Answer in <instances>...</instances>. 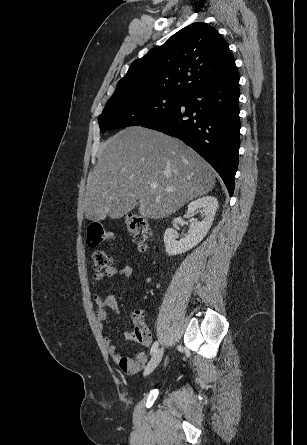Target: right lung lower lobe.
I'll use <instances>...</instances> for the list:
<instances>
[{"label":"right lung lower lobe","instance_id":"98d812e1","mask_svg":"<svg viewBox=\"0 0 307 445\" xmlns=\"http://www.w3.org/2000/svg\"><path fill=\"white\" fill-rule=\"evenodd\" d=\"M239 74L234 65L216 79L185 94L162 117L141 126L184 141L221 176L230 196L239 152Z\"/></svg>","mask_w":307,"mask_h":445}]
</instances>
